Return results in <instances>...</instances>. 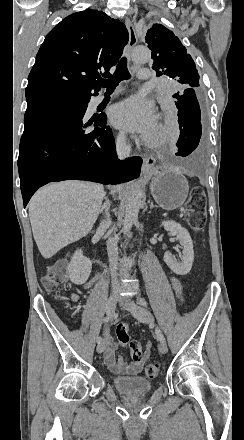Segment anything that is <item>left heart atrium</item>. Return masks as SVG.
Listing matches in <instances>:
<instances>
[{
    "label": "left heart atrium",
    "mask_w": 244,
    "mask_h": 440,
    "mask_svg": "<svg viewBox=\"0 0 244 440\" xmlns=\"http://www.w3.org/2000/svg\"><path fill=\"white\" fill-rule=\"evenodd\" d=\"M157 112L152 101L140 96L130 97L116 104L111 113L112 123L130 132L147 133L157 137Z\"/></svg>",
    "instance_id": "1"
}]
</instances>
